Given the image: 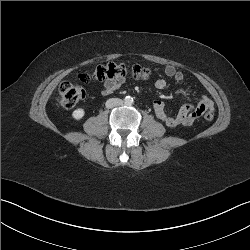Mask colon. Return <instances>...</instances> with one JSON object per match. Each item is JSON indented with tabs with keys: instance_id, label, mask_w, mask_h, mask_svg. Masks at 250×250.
I'll return each mask as SVG.
<instances>
[{
	"instance_id": "colon-1",
	"label": "colon",
	"mask_w": 250,
	"mask_h": 250,
	"mask_svg": "<svg viewBox=\"0 0 250 250\" xmlns=\"http://www.w3.org/2000/svg\"><path fill=\"white\" fill-rule=\"evenodd\" d=\"M151 75L149 69L135 65L127 67L123 64L109 63L107 65L98 66L93 74L92 78L97 81H104L112 78H125L131 76L135 79H148ZM82 81L86 82L89 77L81 75ZM85 97V91L82 87L65 81L61 83L59 87V103L65 108H71L80 103ZM206 121L213 119V112L206 111L204 114Z\"/></svg>"
}]
</instances>
